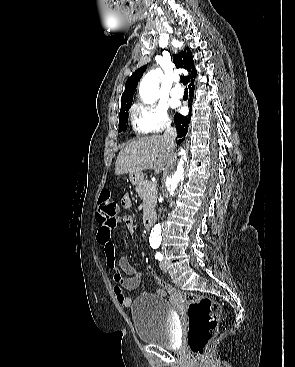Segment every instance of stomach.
<instances>
[{"label": "stomach", "mask_w": 295, "mask_h": 367, "mask_svg": "<svg viewBox=\"0 0 295 367\" xmlns=\"http://www.w3.org/2000/svg\"><path fill=\"white\" fill-rule=\"evenodd\" d=\"M129 179L133 185H138L142 183V181L144 180V176L142 172H135L129 174Z\"/></svg>", "instance_id": "stomach-1"}]
</instances>
